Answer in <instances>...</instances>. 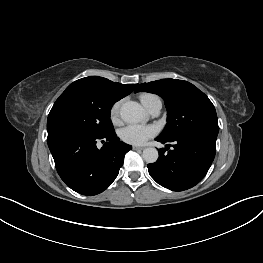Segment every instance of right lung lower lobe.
Returning a JSON list of instances; mask_svg holds the SVG:
<instances>
[{
    "label": "right lung lower lobe",
    "instance_id": "98d812e1",
    "mask_svg": "<svg viewBox=\"0 0 263 263\" xmlns=\"http://www.w3.org/2000/svg\"><path fill=\"white\" fill-rule=\"evenodd\" d=\"M58 174L72 190L96 195L115 180L132 147L121 142L115 132L106 136L65 132L47 139ZM104 143L98 148V143Z\"/></svg>",
    "mask_w": 263,
    "mask_h": 263
}]
</instances>
